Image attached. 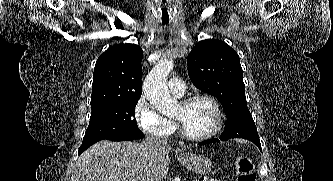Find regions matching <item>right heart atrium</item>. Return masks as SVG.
Masks as SVG:
<instances>
[{
  "label": "right heart atrium",
  "instance_id": "right-heart-atrium-1",
  "mask_svg": "<svg viewBox=\"0 0 333 181\" xmlns=\"http://www.w3.org/2000/svg\"><path fill=\"white\" fill-rule=\"evenodd\" d=\"M134 118L141 131L156 138L167 139L176 129L175 123L160 115L144 96L134 106Z\"/></svg>",
  "mask_w": 333,
  "mask_h": 181
}]
</instances>
